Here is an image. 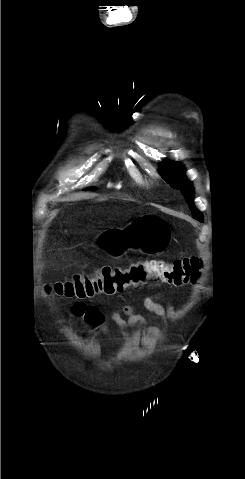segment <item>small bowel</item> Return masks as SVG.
Masks as SVG:
<instances>
[{
  "mask_svg": "<svg viewBox=\"0 0 245 479\" xmlns=\"http://www.w3.org/2000/svg\"><path fill=\"white\" fill-rule=\"evenodd\" d=\"M76 305V304H75ZM145 308L161 318H171L176 315V310L172 305H162L153 297L146 298L144 300ZM87 319L97 328L105 327V319L100 310L93 305H85L84 308ZM110 319L120 329L124 339H128L130 336L136 340H140V334L135 329L137 325L143 326L146 331L152 335L160 336L156 328L148 326L145 318L136 312L131 306H124L110 315Z\"/></svg>",
  "mask_w": 245,
  "mask_h": 479,
  "instance_id": "c3829d8e",
  "label": "small bowel"
}]
</instances>
